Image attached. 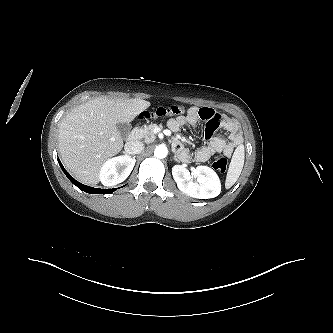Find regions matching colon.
Segmentation results:
<instances>
[{
    "instance_id": "5ec220e1",
    "label": "colon",
    "mask_w": 333,
    "mask_h": 333,
    "mask_svg": "<svg viewBox=\"0 0 333 333\" xmlns=\"http://www.w3.org/2000/svg\"><path fill=\"white\" fill-rule=\"evenodd\" d=\"M185 111V108L181 105H170L159 107L152 113L143 112L140 115L141 119H149L151 117H166V116H173V115H180ZM228 160L224 156H218L213 162V168L219 172H225L227 169Z\"/></svg>"
}]
</instances>
